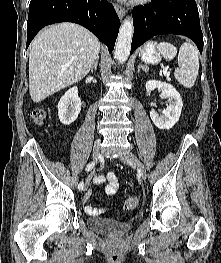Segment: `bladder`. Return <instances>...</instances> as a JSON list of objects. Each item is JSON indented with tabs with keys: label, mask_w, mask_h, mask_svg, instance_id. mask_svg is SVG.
<instances>
[{
	"label": "bladder",
	"mask_w": 221,
	"mask_h": 263,
	"mask_svg": "<svg viewBox=\"0 0 221 263\" xmlns=\"http://www.w3.org/2000/svg\"><path fill=\"white\" fill-rule=\"evenodd\" d=\"M87 225L94 231L111 236L124 235L132 228L130 221H120L100 216L90 217L87 220Z\"/></svg>",
	"instance_id": "1"
}]
</instances>
